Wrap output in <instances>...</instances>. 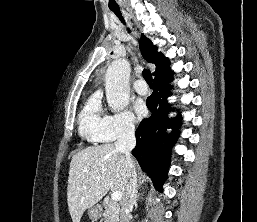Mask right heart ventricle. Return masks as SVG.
<instances>
[{"instance_id": "1", "label": "right heart ventricle", "mask_w": 257, "mask_h": 222, "mask_svg": "<svg viewBox=\"0 0 257 222\" xmlns=\"http://www.w3.org/2000/svg\"><path fill=\"white\" fill-rule=\"evenodd\" d=\"M101 94H92L85 102L78 118L79 134L89 143L104 142L102 131L106 121Z\"/></svg>"}]
</instances>
